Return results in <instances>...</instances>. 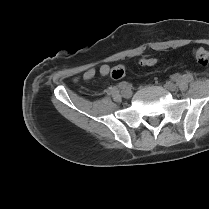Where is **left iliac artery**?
Here are the masks:
<instances>
[{"label": "left iliac artery", "instance_id": "1", "mask_svg": "<svg viewBox=\"0 0 209 209\" xmlns=\"http://www.w3.org/2000/svg\"><path fill=\"white\" fill-rule=\"evenodd\" d=\"M171 80H172L174 83H178V82L181 80V76H180L178 73H175V74L171 77Z\"/></svg>", "mask_w": 209, "mask_h": 209}]
</instances>
